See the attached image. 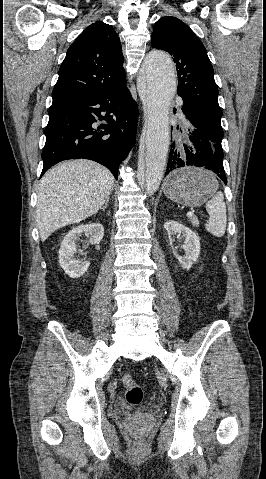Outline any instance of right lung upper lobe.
<instances>
[{
	"mask_svg": "<svg viewBox=\"0 0 266 479\" xmlns=\"http://www.w3.org/2000/svg\"><path fill=\"white\" fill-rule=\"evenodd\" d=\"M123 60L113 27L101 21L89 25L67 51L53 100L118 87L126 82Z\"/></svg>",
	"mask_w": 266,
	"mask_h": 479,
	"instance_id": "1",
	"label": "right lung upper lobe"
}]
</instances>
